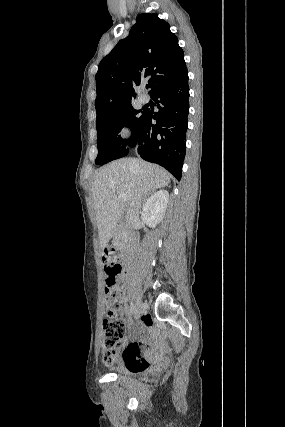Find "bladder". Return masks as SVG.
Masks as SVG:
<instances>
[{
	"mask_svg": "<svg viewBox=\"0 0 285 427\" xmlns=\"http://www.w3.org/2000/svg\"><path fill=\"white\" fill-rule=\"evenodd\" d=\"M115 373L117 375H124V376H128V377H137L139 376L141 373H143V370H129L126 368H117L115 370Z\"/></svg>",
	"mask_w": 285,
	"mask_h": 427,
	"instance_id": "bladder-1",
	"label": "bladder"
}]
</instances>
